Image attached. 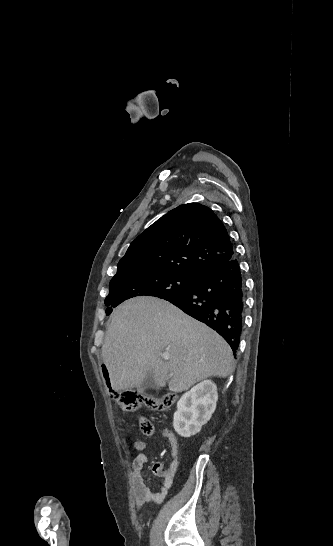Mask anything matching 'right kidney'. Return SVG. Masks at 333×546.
I'll return each mask as SVG.
<instances>
[{
    "instance_id": "right-kidney-1",
    "label": "right kidney",
    "mask_w": 333,
    "mask_h": 546,
    "mask_svg": "<svg viewBox=\"0 0 333 546\" xmlns=\"http://www.w3.org/2000/svg\"><path fill=\"white\" fill-rule=\"evenodd\" d=\"M218 400L217 387L211 380H204L182 395L177 402L173 426L182 437L197 434L211 418Z\"/></svg>"
}]
</instances>
